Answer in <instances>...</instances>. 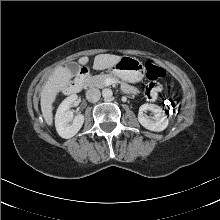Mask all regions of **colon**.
Here are the masks:
<instances>
[{
	"mask_svg": "<svg viewBox=\"0 0 220 220\" xmlns=\"http://www.w3.org/2000/svg\"><path fill=\"white\" fill-rule=\"evenodd\" d=\"M145 69H146L147 78L150 79L151 81H156L165 76L164 69L152 61L146 62ZM165 104L167 111L171 116L177 115L180 109V102L176 96L173 95L169 96L165 101Z\"/></svg>",
	"mask_w": 220,
	"mask_h": 220,
	"instance_id": "5ec220e1",
	"label": "colon"
}]
</instances>
